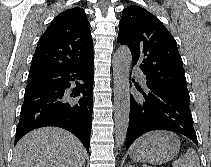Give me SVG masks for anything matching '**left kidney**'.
<instances>
[{
  "label": "left kidney",
  "instance_id": "1",
  "mask_svg": "<svg viewBox=\"0 0 211 167\" xmlns=\"http://www.w3.org/2000/svg\"><path fill=\"white\" fill-rule=\"evenodd\" d=\"M127 167H134V166L129 165V166H127Z\"/></svg>",
  "mask_w": 211,
  "mask_h": 167
}]
</instances>
